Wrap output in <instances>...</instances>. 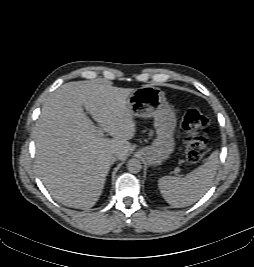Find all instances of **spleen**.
<instances>
[{"label": "spleen", "mask_w": 254, "mask_h": 267, "mask_svg": "<svg viewBox=\"0 0 254 267\" xmlns=\"http://www.w3.org/2000/svg\"><path fill=\"white\" fill-rule=\"evenodd\" d=\"M218 151H214L206 162L186 174L183 178L164 176L158 180L163 198L171 206L180 208L198 201L210 188L218 168Z\"/></svg>", "instance_id": "3e777b00"}]
</instances>
